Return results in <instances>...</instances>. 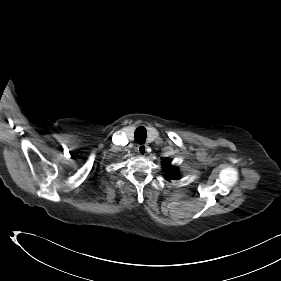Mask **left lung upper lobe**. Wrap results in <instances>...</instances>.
<instances>
[{"instance_id": "left-lung-upper-lobe-1", "label": "left lung upper lobe", "mask_w": 281, "mask_h": 281, "mask_svg": "<svg viewBox=\"0 0 281 281\" xmlns=\"http://www.w3.org/2000/svg\"><path fill=\"white\" fill-rule=\"evenodd\" d=\"M163 169L166 172L165 178L170 179V177H176L178 175V170L170 165L169 161L163 163Z\"/></svg>"}]
</instances>
